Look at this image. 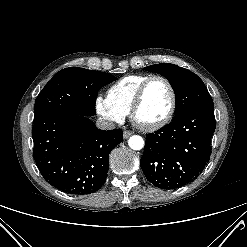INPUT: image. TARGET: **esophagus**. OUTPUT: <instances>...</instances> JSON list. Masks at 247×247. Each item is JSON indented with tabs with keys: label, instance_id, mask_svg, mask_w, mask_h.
<instances>
[{
	"label": "esophagus",
	"instance_id": "1",
	"mask_svg": "<svg viewBox=\"0 0 247 247\" xmlns=\"http://www.w3.org/2000/svg\"><path fill=\"white\" fill-rule=\"evenodd\" d=\"M132 134H133V132L126 130V131L123 132V137H124V139H127Z\"/></svg>",
	"mask_w": 247,
	"mask_h": 247
}]
</instances>
